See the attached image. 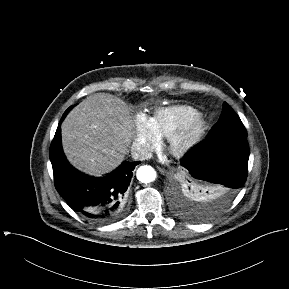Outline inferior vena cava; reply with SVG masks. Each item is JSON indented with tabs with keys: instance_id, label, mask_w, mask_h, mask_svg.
<instances>
[{
	"instance_id": "602c4592",
	"label": "inferior vena cava",
	"mask_w": 289,
	"mask_h": 289,
	"mask_svg": "<svg viewBox=\"0 0 289 289\" xmlns=\"http://www.w3.org/2000/svg\"><path fill=\"white\" fill-rule=\"evenodd\" d=\"M151 156V154L144 148L138 147V146H132L131 147V157L134 160L143 161L148 159Z\"/></svg>"
}]
</instances>
